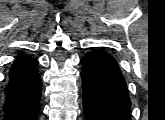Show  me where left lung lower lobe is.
Listing matches in <instances>:
<instances>
[{
    "label": "left lung lower lobe",
    "instance_id": "left-lung-lower-lobe-1",
    "mask_svg": "<svg viewBox=\"0 0 165 120\" xmlns=\"http://www.w3.org/2000/svg\"><path fill=\"white\" fill-rule=\"evenodd\" d=\"M86 120H131L129 92L113 56L93 49L81 59Z\"/></svg>",
    "mask_w": 165,
    "mask_h": 120
}]
</instances>
